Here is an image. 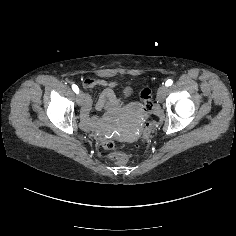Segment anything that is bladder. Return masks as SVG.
Here are the masks:
<instances>
[{"instance_id": "1", "label": "bladder", "mask_w": 236, "mask_h": 236, "mask_svg": "<svg viewBox=\"0 0 236 236\" xmlns=\"http://www.w3.org/2000/svg\"><path fill=\"white\" fill-rule=\"evenodd\" d=\"M127 90H128V88L124 89L123 91L126 93V92H127Z\"/></svg>"}]
</instances>
